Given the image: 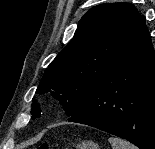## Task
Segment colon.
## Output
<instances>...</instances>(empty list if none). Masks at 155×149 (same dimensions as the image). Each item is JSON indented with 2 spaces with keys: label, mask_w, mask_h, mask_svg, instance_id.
I'll use <instances>...</instances> for the list:
<instances>
[{
  "label": "colon",
  "mask_w": 155,
  "mask_h": 149,
  "mask_svg": "<svg viewBox=\"0 0 155 149\" xmlns=\"http://www.w3.org/2000/svg\"><path fill=\"white\" fill-rule=\"evenodd\" d=\"M37 149H51V146L50 144L43 142L37 146Z\"/></svg>",
  "instance_id": "obj_1"
}]
</instances>
